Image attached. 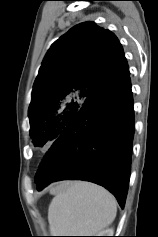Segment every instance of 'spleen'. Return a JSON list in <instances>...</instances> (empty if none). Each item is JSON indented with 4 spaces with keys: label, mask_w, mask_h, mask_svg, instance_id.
I'll return each mask as SVG.
<instances>
[{
    "label": "spleen",
    "mask_w": 158,
    "mask_h": 237,
    "mask_svg": "<svg viewBox=\"0 0 158 237\" xmlns=\"http://www.w3.org/2000/svg\"><path fill=\"white\" fill-rule=\"evenodd\" d=\"M117 202L106 189L90 182H70L58 191L49 210L52 236H94L116 217Z\"/></svg>",
    "instance_id": "3e777b00"
}]
</instances>
